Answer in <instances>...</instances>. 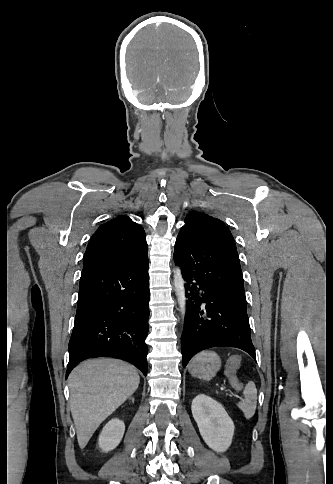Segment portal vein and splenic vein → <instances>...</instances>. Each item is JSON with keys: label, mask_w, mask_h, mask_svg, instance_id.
<instances>
[{"label": "portal vein and splenic vein", "mask_w": 333, "mask_h": 484, "mask_svg": "<svg viewBox=\"0 0 333 484\" xmlns=\"http://www.w3.org/2000/svg\"><path fill=\"white\" fill-rule=\"evenodd\" d=\"M221 390H224L226 392V395L229 396V397H235V398H239V396H236L234 395L233 393H231L229 390H226L224 387H221L220 388Z\"/></svg>", "instance_id": "1"}]
</instances>
